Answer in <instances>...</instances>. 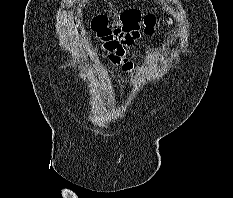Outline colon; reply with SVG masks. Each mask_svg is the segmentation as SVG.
<instances>
[{
    "label": "colon",
    "instance_id": "1",
    "mask_svg": "<svg viewBox=\"0 0 233 198\" xmlns=\"http://www.w3.org/2000/svg\"><path fill=\"white\" fill-rule=\"evenodd\" d=\"M158 26L159 23L154 15H143L136 9L122 12L120 17L114 22H109L105 16H97L91 23L92 30L100 40L111 36L116 31L151 34Z\"/></svg>",
    "mask_w": 233,
    "mask_h": 198
}]
</instances>
